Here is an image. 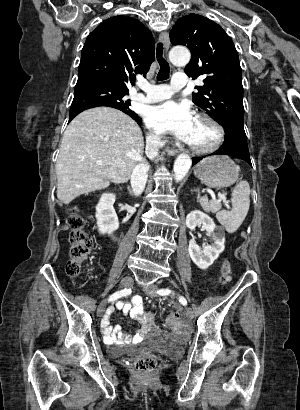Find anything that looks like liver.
Wrapping results in <instances>:
<instances>
[{
  "label": "liver",
  "instance_id": "liver-1",
  "mask_svg": "<svg viewBox=\"0 0 300 410\" xmlns=\"http://www.w3.org/2000/svg\"><path fill=\"white\" fill-rule=\"evenodd\" d=\"M143 150L142 131L128 115L109 107L83 111L62 137L56 163L57 198L69 204L110 182L126 183L135 167L146 163Z\"/></svg>",
  "mask_w": 300,
  "mask_h": 410
}]
</instances>
